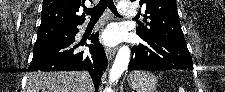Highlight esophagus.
<instances>
[{
	"label": "esophagus",
	"mask_w": 225,
	"mask_h": 92,
	"mask_svg": "<svg viewBox=\"0 0 225 92\" xmlns=\"http://www.w3.org/2000/svg\"><path fill=\"white\" fill-rule=\"evenodd\" d=\"M106 55L109 60H111L116 54L117 48H106Z\"/></svg>",
	"instance_id": "obj_1"
}]
</instances>
